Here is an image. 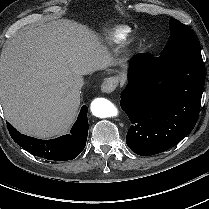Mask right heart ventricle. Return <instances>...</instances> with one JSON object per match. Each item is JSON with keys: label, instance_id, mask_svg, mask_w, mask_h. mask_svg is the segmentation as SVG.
I'll return each mask as SVG.
<instances>
[{"label": "right heart ventricle", "instance_id": "e07e8e85", "mask_svg": "<svg viewBox=\"0 0 209 209\" xmlns=\"http://www.w3.org/2000/svg\"><path fill=\"white\" fill-rule=\"evenodd\" d=\"M129 32L130 29L127 26H119L111 33V38L114 40L121 39L127 36Z\"/></svg>", "mask_w": 209, "mask_h": 209}]
</instances>
